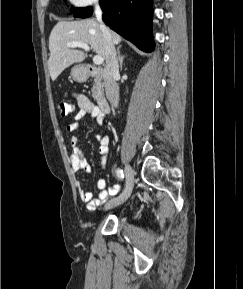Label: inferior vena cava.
I'll list each match as a JSON object with an SVG mask.
<instances>
[{
  "mask_svg": "<svg viewBox=\"0 0 243 289\" xmlns=\"http://www.w3.org/2000/svg\"><path fill=\"white\" fill-rule=\"evenodd\" d=\"M95 15L100 22V29L105 41L106 66L103 73L106 97L114 107L119 103V87L116 79L119 77V66L115 46L112 43L110 30L102 22V11L98 4L95 6Z\"/></svg>",
  "mask_w": 243,
  "mask_h": 289,
  "instance_id": "602c4592",
  "label": "inferior vena cava"
}]
</instances>
